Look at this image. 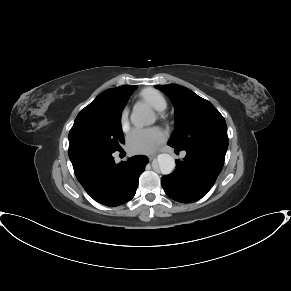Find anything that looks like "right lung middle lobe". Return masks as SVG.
I'll use <instances>...</instances> for the list:
<instances>
[{
	"label": "right lung middle lobe",
	"mask_w": 291,
	"mask_h": 291,
	"mask_svg": "<svg viewBox=\"0 0 291 291\" xmlns=\"http://www.w3.org/2000/svg\"><path fill=\"white\" fill-rule=\"evenodd\" d=\"M132 91L99 94L82 109L69 132V149L117 151L124 143L121 113Z\"/></svg>",
	"instance_id": "dd1d6c3e"
}]
</instances>
